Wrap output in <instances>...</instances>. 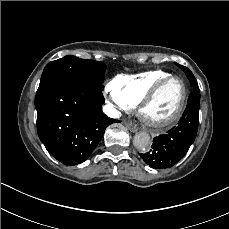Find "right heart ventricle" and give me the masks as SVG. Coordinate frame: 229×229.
Masks as SVG:
<instances>
[{
	"instance_id": "1",
	"label": "right heart ventricle",
	"mask_w": 229,
	"mask_h": 229,
	"mask_svg": "<svg viewBox=\"0 0 229 229\" xmlns=\"http://www.w3.org/2000/svg\"><path fill=\"white\" fill-rule=\"evenodd\" d=\"M171 75L170 72L161 69H153L133 74H122L114 79L112 85L119 96L137 104L152 82L159 78L166 79L167 76Z\"/></svg>"
}]
</instances>
